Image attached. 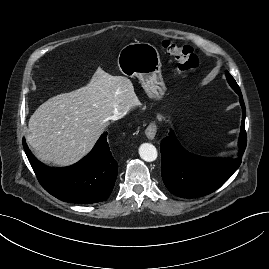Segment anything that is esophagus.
Here are the masks:
<instances>
[{"label":"esophagus","instance_id":"1","mask_svg":"<svg viewBox=\"0 0 269 269\" xmlns=\"http://www.w3.org/2000/svg\"><path fill=\"white\" fill-rule=\"evenodd\" d=\"M156 133H157V125H156L155 121H152L148 125V127L146 128L145 134H146L148 139L152 140V139H154Z\"/></svg>","mask_w":269,"mask_h":269}]
</instances>
